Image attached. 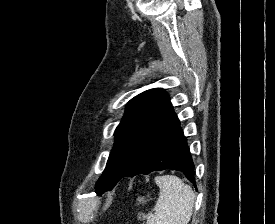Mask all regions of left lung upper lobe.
Instances as JSON below:
<instances>
[{
  "mask_svg": "<svg viewBox=\"0 0 275 224\" xmlns=\"http://www.w3.org/2000/svg\"><path fill=\"white\" fill-rule=\"evenodd\" d=\"M172 111L168 95L160 88L147 90L129 101L96 188L108 178H121L126 173L146 140Z\"/></svg>",
  "mask_w": 275,
  "mask_h": 224,
  "instance_id": "left-lung-upper-lobe-1",
  "label": "left lung upper lobe"
}]
</instances>
